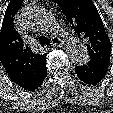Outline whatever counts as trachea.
<instances>
[{
    "label": "trachea",
    "instance_id": "1",
    "mask_svg": "<svg viewBox=\"0 0 113 113\" xmlns=\"http://www.w3.org/2000/svg\"><path fill=\"white\" fill-rule=\"evenodd\" d=\"M39 42H40L41 46L49 45L50 44L49 39L47 37H45V36H40L39 37Z\"/></svg>",
    "mask_w": 113,
    "mask_h": 113
}]
</instances>
